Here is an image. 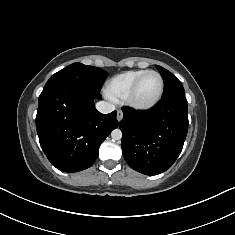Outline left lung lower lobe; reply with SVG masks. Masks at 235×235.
Returning <instances> with one entry per match:
<instances>
[{
  "instance_id": "obj_1",
  "label": "left lung lower lobe",
  "mask_w": 235,
  "mask_h": 235,
  "mask_svg": "<svg viewBox=\"0 0 235 235\" xmlns=\"http://www.w3.org/2000/svg\"><path fill=\"white\" fill-rule=\"evenodd\" d=\"M187 108L184 94L163 97L147 111L122 108V152L131 168L156 175L172 166L187 135Z\"/></svg>"
}]
</instances>
